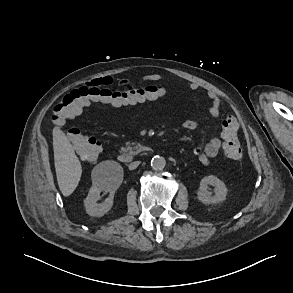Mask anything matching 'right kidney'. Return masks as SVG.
<instances>
[{"label":"right kidney","mask_w":293,"mask_h":293,"mask_svg":"<svg viewBox=\"0 0 293 293\" xmlns=\"http://www.w3.org/2000/svg\"><path fill=\"white\" fill-rule=\"evenodd\" d=\"M109 169L108 176L99 178L93 182L87 197L84 200L86 213L90 216L101 217L106 214L113 206L114 192L119 188L122 181L123 170L116 162H105ZM117 173L118 179L114 180V173ZM110 192V195L102 203H97L101 191Z\"/></svg>","instance_id":"1"}]
</instances>
